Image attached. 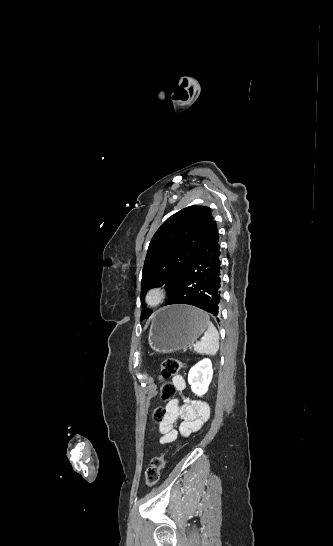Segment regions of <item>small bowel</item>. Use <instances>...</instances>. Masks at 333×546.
Wrapping results in <instances>:
<instances>
[{
	"instance_id": "1",
	"label": "small bowel",
	"mask_w": 333,
	"mask_h": 546,
	"mask_svg": "<svg viewBox=\"0 0 333 546\" xmlns=\"http://www.w3.org/2000/svg\"><path fill=\"white\" fill-rule=\"evenodd\" d=\"M172 384L178 392L186 389L187 383L182 375H176ZM210 417V407L200 400H192L185 397L182 402L178 399L169 401L166 405L165 415L159 422V442L168 444L174 442L179 434L188 437L193 432L199 431ZM181 420L177 428L176 423Z\"/></svg>"
}]
</instances>
